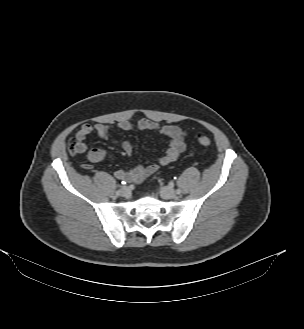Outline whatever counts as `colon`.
Instances as JSON below:
<instances>
[{
  "label": "colon",
  "mask_w": 304,
  "mask_h": 329,
  "mask_svg": "<svg viewBox=\"0 0 304 329\" xmlns=\"http://www.w3.org/2000/svg\"><path fill=\"white\" fill-rule=\"evenodd\" d=\"M197 141L198 143L203 147H210L212 145V140L210 137L203 133H199L197 135ZM68 149L71 154H75L79 152L80 145L77 143V141L73 138L68 143Z\"/></svg>",
  "instance_id": "obj_1"
}]
</instances>
